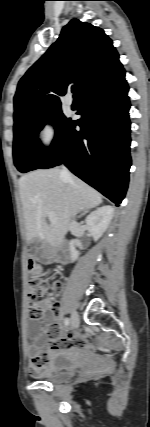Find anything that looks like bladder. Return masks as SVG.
<instances>
[{"instance_id": "bladder-1", "label": "bladder", "mask_w": 150, "mask_h": 427, "mask_svg": "<svg viewBox=\"0 0 150 427\" xmlns=\"http://www.w3.org/2000/svg\"><path fill=\"white\" fill-rule=\"evenodd\" d=\"M77 370L65 353L56 355L48 364L46 381L51 384H60L70 380Z\"/></svg>"}]
</instances>
